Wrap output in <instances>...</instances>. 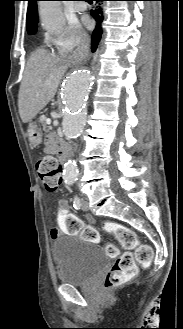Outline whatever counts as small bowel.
Returning <instances> with one entry per match:
<instances>
[{"instance_id":"obj_1","label":"small bowel","mask_w":183,"mask_h":329,"mask_svg":"<svg viewBox=\"0 0 183 329\" xmlns=\"http://www.w3.org/2000/svg\"><path fill=\"white\" fill-rule=\"evenodd\" d=\"M47 150L52 151L53 141L46 142ZM54 215H58L59 227L50 231L51 238H56L60 232H65L66 236H81V242H99V229L97 225H84L83 220H67L75 219V212H69L68 203L61 200L57 204V208L53 210ZM89 222H94V218L90 215L86 216Z\"/></svg>"}]
</instances>
